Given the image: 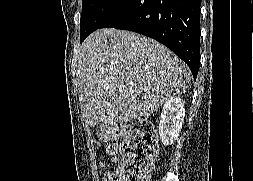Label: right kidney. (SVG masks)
Segmentation results:
<instances>
[{
    "label": "right kidney",
    "mask_w": 253,
    "mask_h": 181,
    "mask_svg": "<svg viewBox=\"0 0 253 181\" xmlns=\"http://www.w3.org/2000/svg\"><path fill=\"white\" fill-rule=\"evenodd\" d=\"M184 101L173 96L166 100L159 121V135L164 145L173 144L181 131L185 116Z\"/></svg>",
    "instance_id": "1"
}]
</instances>
